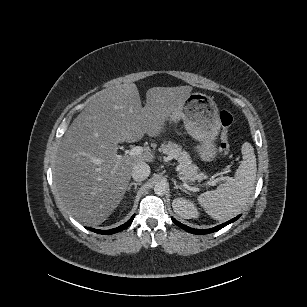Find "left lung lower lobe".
Wrapping results in <instances>:
<instances>
[{
  "instance_id": "left-lung-lower-lobe-1",
  "label": "left lung lower lobe",
  "mask_w": 307,
  "mask_h": 307,
  "mask_svg": "<svg viewBox=\"0 0 307 307\" xmlns=\"http://www.w3.org/2000/svg\"><path fill=\"white\" fill-rule=\"evenodd\" d=\"M239 217H240V215H238L237 217L229 220L228 222H226L224 224L218 225V226L211 228V229H194V228H190L186 225L181 224L180 222L176 221L174 218H172V221L176 225H178L179 227H181L182 229L186 230L189 233L201 235V234H208V233H212V232H215L217 230H220L221 228L225 227L226 225H228V224L234 222L235 220H237Z\"/></svg>"
}]
</instances>
